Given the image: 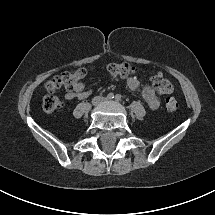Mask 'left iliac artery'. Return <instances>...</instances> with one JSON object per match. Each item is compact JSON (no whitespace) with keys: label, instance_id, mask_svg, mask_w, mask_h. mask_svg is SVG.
Here are the masks:
<instances>
[{"label":"left iliac artery","instance_id":"left-iliac-artery-1","mask_svg":"<svg viewBox=\"0 0 215 215\" xmlns=\"http://www.w3.org/2000/svg\"><path fill=\"white\" fill-rule=\"evenodd\" d=\"M115 100H116L117 102H119V101L121 100V95L117 94V95L115 96Z\"/></svg>","mask_w":215,"mask_h":215}]
</instances>
